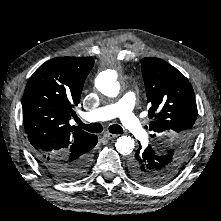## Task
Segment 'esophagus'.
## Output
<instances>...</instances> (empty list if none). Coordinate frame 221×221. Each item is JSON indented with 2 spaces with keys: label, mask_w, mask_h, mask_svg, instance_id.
Here are the masks:
<instances>
[{
  "label": "esophagus",
  "mask_w": 221,
  "mask_h": 221,
  "mask_svg": "<svg viewBox=\"0 0 221 221\" xmlns=\"http://www.w3.org/2000/svg\"><path fill=\"white\" fill-rule=\"evenodd\" d=\"M105 138H107V139H113V138H117L118 137V135H116V134H111V133H104V135H103Z\"/></svg>",
  "instance_id": "obj_1"
}]
</instances>
